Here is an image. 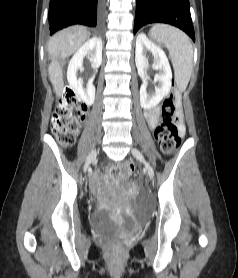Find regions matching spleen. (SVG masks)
I'll use <instances>...</instances> for the list:
<instances>
[{
    "instance_id": "spleen-1",
    "label": "spleen",
    "mask_w": 238,
    "mask_h": 278,
    "mask_svg": "<svg viewBox=\"0 0 238 278\" xmlns=\"http://www.w3.org/2000/svg\"><path fill=\"white\" fill-rule=\"evenodd\" d=\"M149 35L168 49L176 85L181 92L185 91L193 69V47L189 37L183 31L165 24L154 25Z\"/></svg>"
}]
</instances>
